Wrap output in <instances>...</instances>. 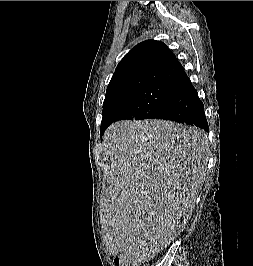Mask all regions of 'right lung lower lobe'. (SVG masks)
Masks as SVG:
<instances>
[{"instance_id":"1","label":"right lung lower lobe","mask_w":253,"mask_h":266,"mask_svg":"<svg viewBox=\"0 0 253 266\" xmlns=\"http://www.w3.org/2000/svg\"><path fill=\"white\" fill-rule=\"evenodd\" d=\"M158 119L185 123L209 131L203 103L187 75L173 85L169 104ZM107 127L100 131L101 136Z\"/></svg>"}]
</instances>
